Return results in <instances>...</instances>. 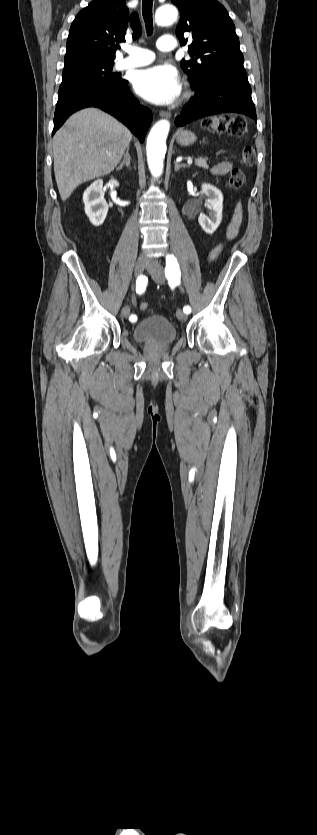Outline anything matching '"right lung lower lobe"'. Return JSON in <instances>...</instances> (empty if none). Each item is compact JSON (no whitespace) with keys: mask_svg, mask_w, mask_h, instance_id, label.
Returning a JSON list of instances; mask_svg holds the SVG:
<instances>
[{"mask_svg":"<svg viewBox=\"0 0 317 835\" xmlns=\"http://www.w3.org/2000/svg\"><path fill=\"white\" fill-rule=\"evenodd\" d=\"M127 83H98L60 94L54 114L52 136L71 114L82 108L94 106L113 115L143 142L152 121V113L139 104Z\"/></svg>","mask_w":317,"mask_h":835,"instance_id":"1","label":"right lung lower lobe"}]
</instances>
